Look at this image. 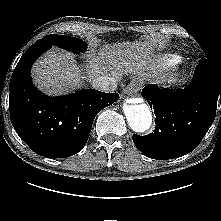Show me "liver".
<instances>
[{
    "mask_svg": "<svg viewBox=\"0 0 221 221\" xmlns=\"http://www.w3.org/2000/svg\"><path fill=\"white\" fill-rule=\"evenodd\" d=\"M153 45L148 42L106 45L99 53L89 54L87 77L82 76L81 69L69 53L55 48L33 65L32 78L40 90L51 96L73 91L82 85L84 78L92 80L104 75L120 80L123 74H138L148 79L151 75L145 71Z\"/></svg>",
    "mask_w": 221,
    "mask_h": 221,
    "instance_id": "1",
    "label": "liver"
}]
</instances>
